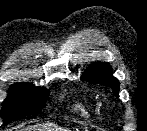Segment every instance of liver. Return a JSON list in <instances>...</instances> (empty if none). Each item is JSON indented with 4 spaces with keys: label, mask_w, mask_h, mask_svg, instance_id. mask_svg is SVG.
<instances>
[{
    "label": "liver",
    "mask_w": 147,
    "mask_h": 131,
    "mask_svg": "<svg viewBox=\"0 0 147 131\" xmlns=\"http://www.w3.org/2000/svg\"><path fill=\"white\" fill-rule=\"evenodd\" d=\"M23 131H69L67 128L59 127L54 123L36 124L22 129Z\"/></svg>",
    "instance_id": "1"
}]
</instances>
